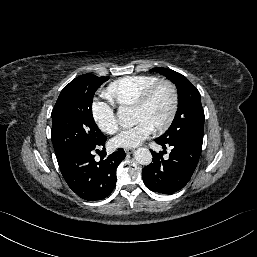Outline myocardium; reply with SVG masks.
<instances>
[{"label": "myocardium", "instance_id": "myocardium-1", "mask_svg": "<svg viewBox=\"0 0 257 257\" xmlns=\"http://www.w3.org/2000/svg\"><path fill=\"white\" fill-rule=\"evenodd\" d=\"M162 87L168 88L171 93V108L166 121L161 126L154 129V131L157 133H162L168 130L172 125V123L174 122V119L178 112L179 93L176 85L169 80H159L153 85H151L149 88H147L141 94V96L136 101V103L132 106V108L135 110L143 109L149 103L153 95Z\"/></svg>", "mask_w": 257, "mask_h": 257}]
</instances>
